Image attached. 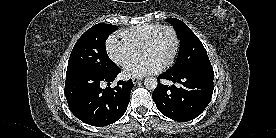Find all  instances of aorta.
<instances>
[{
    "mask_svg": "<svg viewBox=\"0 0 276 138\" xmlns=\"http://www.w3.org/2000/svg\"><path fill=\"white\" fill-rule=\"evenodd\" d=\"M157 79L155 77H148L144 80V85L149 90H154L157 87Z\"/></svg>",
    "mask_w": 276,
    "mask_h": 138,
    "instance_id": "762f6f07",
    "label": "aorta"
}]
</instances>
